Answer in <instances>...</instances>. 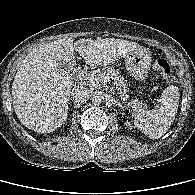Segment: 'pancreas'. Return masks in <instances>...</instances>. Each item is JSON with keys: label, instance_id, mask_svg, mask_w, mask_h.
<instances>
[{"label": "pancreas", "instance_id": "pancreas-1", "mask_svg": "<svg viewBox=\"0 0 195 195\" xmlns=\"http://www.w3.org/2000/svg\"><path fill=\"white\" fill-rule=\"evenodd\" d=\"M105 77H109L113 80L117 90L119 91L120 98L123 102H126L128 99L127 81L121 75L120 71L114 67H102L97 70H93L90 73L85 74L84 80L89 87L97 89L104 83ZM127 106H131L133 111H139L142 108L143 103L138 100H132L127 104Z\"/></svg>", "mask_w": 195, "mask_h": 195}]
</instances>
